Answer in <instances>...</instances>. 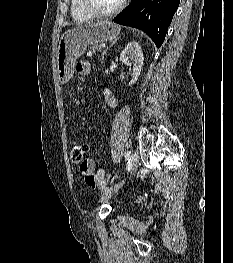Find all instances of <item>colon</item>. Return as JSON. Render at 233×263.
Here are the masks:
<instances>
[{
	"label": "colon",
	"instance_id": "colon-1",
	"mask_svg": "<svg viewBox=\"0 0 233 263\" xmlns=\"http://www.w3.org/2000/svg\"><path fill=\"white\" fill-rule=\"evenodd\" d=\"M88 151V147L85 144H75L70 148V158L73 163L78 164L81 168L85 171V179L88 184L94 185L96 183V177L88 172L86 170V154ZM102 179L106 182L108 179V176L104 173L102 176ZM147 197V194H145L143 197H140L138 199L139 202H143L145 198Z\"/></svg>",
	"mask_w": 233,
	"mask_h": 263
}]
</instances>
